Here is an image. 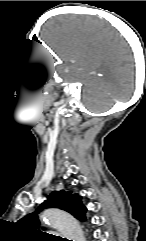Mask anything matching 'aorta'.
<instances>
[{"mask_svg":"<svg viewBox=\"0 0 146 241\" xmlns=\"http://www.w3.org/2000/svg\"><path fill=\"white\" fill-rule=\"evenodd\" d=\"M41 217L44 222L55 227L68 240L86 241L79 223L67 212L58 208H48L43 211Z\"/></svg>","mask_w":146,"mask_h":241,"instance_id":"aorta-1","label":"aorta"}]
</instances>
